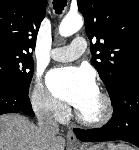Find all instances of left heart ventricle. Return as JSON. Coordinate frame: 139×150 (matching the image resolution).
<instances>
[{"label":"left heart ventricle","mask_w":139,"mask_h":150,"mask_svg":"<svg viewBox=\"0 0 139 150\" xmlns=\"http://www.w3.org/2000/svg\"><path fill=\"white\" fill-rule=\"evenodd\" d=\"M82 116L88 119H96L103 113V103L97 94L86 104L78 108Z\"/></svg>","instance_id":"1"}]
</instances>
